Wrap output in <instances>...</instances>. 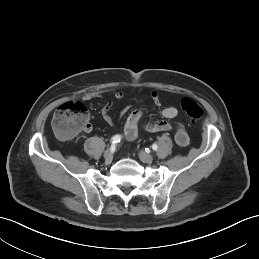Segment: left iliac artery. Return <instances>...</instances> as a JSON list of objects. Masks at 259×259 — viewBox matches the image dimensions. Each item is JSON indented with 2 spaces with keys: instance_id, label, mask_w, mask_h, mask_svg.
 <instances>
[{
  "instance_id": "obj_1",
  "label": "left iliac artery",
  "mask_w": 259,
  "mask_h": 259,
  "mask_svg": "<svg viewBox=\"0 0 259 259\" xmlns=\"http://www.w3.org/2000/svg\"><path fill=\"white\" fill-rule=\"evenodd\" d=\"M157 148H158L157 144H153V145H152V149H153L154 151H156Z\"/></svg>"
}]
</instances>
